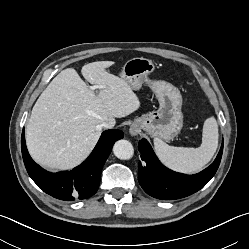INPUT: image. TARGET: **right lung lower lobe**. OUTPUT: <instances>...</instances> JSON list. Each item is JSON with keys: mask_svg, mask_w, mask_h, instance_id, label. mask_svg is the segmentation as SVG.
<instances>
[{"mask_svg": "<svg viewBox=\"0 0 249 249\" xmlns=\"http://www.w3.org/2000/svg\"><path fill=\"white\" fill-rule=\"evenodd\" d=\"M123 136L120 130L104 131L90 156L81 165L71 171L51 173L41 168L30 157L23 130L22 156L29 176L45 193L66 201L86 199L98 190L103 165L115 141Z\"/></svg>", "mask_w": 249, "mask_h": 249, "instance_id": "right-lung-lower-lobe-1", "label": "right lung lower lobe"}]
</instances>
